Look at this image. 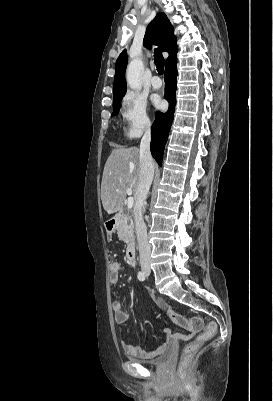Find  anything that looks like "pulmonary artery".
<instances>
[{"label":"pulmonary artery","instance_id":"1","mask_svg":"<svg viewBox=\"0 0 273 401\" xmlns=\"http://www.w3.org/2000/svg\"><path fill=\"white\" fill-rule=\"evenodd\" d=\"M159 77L157 76V75H154L153 77H152V81L150 82V87L152 88V89H157V88H159V86H160V83H159Z\"/></svg>","mask_w":273,"mask_h":401}]
</instances>
